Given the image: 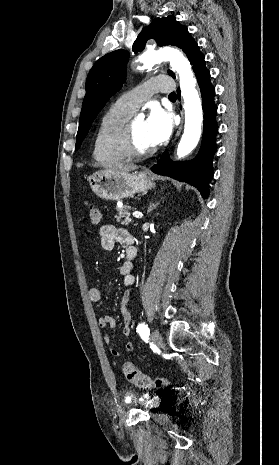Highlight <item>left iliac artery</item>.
Here are the masks:
<instances>
[{
  "mask_svg": "<svg viewBox=\"0 0 279 465\" xmlns=\"http://www.w3.org/2000/svg\"><path fill=\"white\" fill-rule=\"evenodd\" d=\"M137 332L139 333L140 337L142 338V340H144L145 342H147L148 338H149V328H148V325L145 324V323H140L137 327Z\"/></svg>",
  "mask_w": 279,
  "mask_h": 465,
  "instance_id": "1",
  "label": "left iliac artery"
}]
</instances>
